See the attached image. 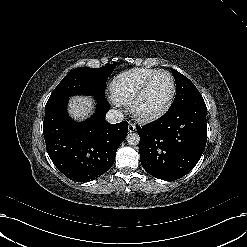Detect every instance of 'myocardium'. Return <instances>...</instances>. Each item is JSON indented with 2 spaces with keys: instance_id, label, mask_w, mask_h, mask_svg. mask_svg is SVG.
<instances>
[{
  "instance_id": "1",
  "label": "myocardium",
  "mask_w": 247,
  "mask_h": 247,
  "mask_svg": "<svg viewBox=\"0 0 247 247\" xmlns=\"http://www.w3.org/2000/svg\"><path fill=\"white\" fill-rule=\"evenodd\" d=\"M161 74L167 75L171 81V92H170L168 99L166 100V102L161 107H159L156 110L146 112V113L140 112L137 108V104H138L140 98L144 94L148 85L153 81V79L156 78L158 75H161ZM175 92H176V84H175V79H174L173 75L169 71L159 70L156 73H154L153 75H151L141 85V87L136 92V94L131 98V100L129 102V111H130L131 115L133 116V118H135L138 121L149 122L151 120H154V119L158 118L159 116H161L162 114H164L168 110V108L170 107V105L174 99Z\"/></svg>"
}]
</instances>
